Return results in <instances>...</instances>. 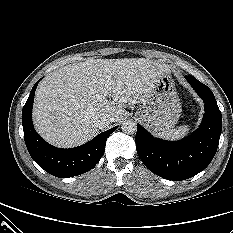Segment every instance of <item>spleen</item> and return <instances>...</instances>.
I'll return each instance as SVG.
<instances>
[{
  "instance_id": "spleen-1",
  "label": "spleen",
  "mask_w": 233,
  "mask_h": 233,
  "mask_svg": "<svg viewBox=\"0 0 233 233\" xmlns=\"http://www.w3.org/2000/svg\"><path fill=\"white\" fill-rule=\"evenodd\" d=\"M189 130V126H179L178 128L159 133V137L167 140H177L185 137Z\"/></svg>"
}]
</instances>
